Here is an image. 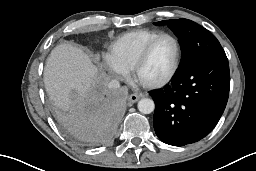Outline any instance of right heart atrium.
I'll list each match as a JSON object with an SVG mask.
<instances>
[{
  "mask_svg": "<svg viewBox=\"0 0 256 171\" xmlns=\"http://www.w3.org/2000/svg\"><path fill=\"white\" fill-rule=\"evenodd\" d=\"M104 64L108 68L110 72L117 76H122L125 74V70L119 67L117 64H115L111 59L104 58Z\"/></svg>",
  "mask_w": 256,
  "mask_h": 171,
  "instance_id": "obj_1",
  "label": "right heart atrium"
}]
</instances>
